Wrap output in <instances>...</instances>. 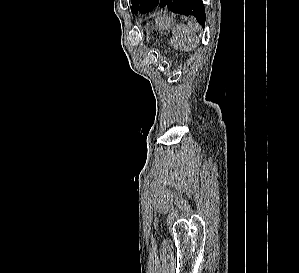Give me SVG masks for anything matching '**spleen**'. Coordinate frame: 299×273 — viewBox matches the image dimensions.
<instances>
[{"label":"spleen","instance_id":"spleen-1","mask_svg":"<svg viewBox=\"0 0 299 273\" xmlns=\"http://www.w3.org/2000/svg\"><path fill=\"white\" fill-rule=\"evenodd\" d=\"M199 29L200 26L191 20L187 25H176L172 31L175 37L172 41L173 47L187 52L194 50L199 43V38L196 35Z\"/></svg>","mask_w":299,"mask_h":273}]
</instances>
